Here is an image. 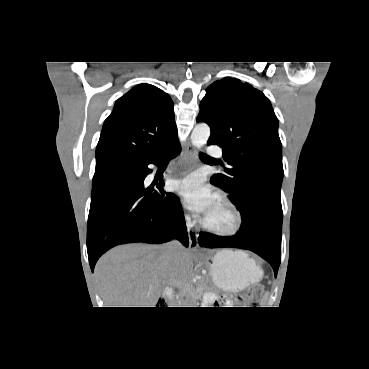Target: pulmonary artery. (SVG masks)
I'll list each match as a JSON object with an SVG mask.
<instances>
[{"mask_svg": "<svg viewBox=\"0 0 369 369\" xmlns=\"http://www.w3.org/2000/svg\"><path fill=\"white\" fill-rule=\"evenodd\" d=\"M207 152L210 156L217 157V158L221 157L222 155L220 148L216 146H209L207 149Z\"/></svg>", "mask_w": 369, "mask_h": 369, "instance_id": "1", "label": "pulmonary artery"}]
</instances>
